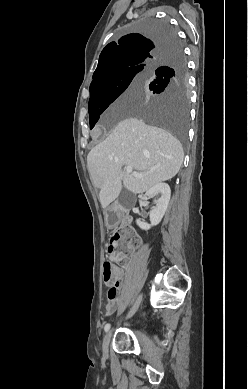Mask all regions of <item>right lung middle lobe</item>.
I'll list each match as a JSON object with an SVG mask.
<instances>
[{
  "instance_id": "1",
  "label": "right lung middle lobe",
  "mask_w": 248,
  "mask_h": 389,
  "mask_svg": "<svg viewBox=\"0 0 248 389\" xmlns=\"http://www.w3.org/2000/svg\"><path fill=\"white\" fill-rule=\"evenodd\" d=\"M138 30L151 39L174 38V31L166 22L147 19L138 24ZM157 68L167 70L155 74ZM146 82L155 96L146 103L134 100L121 104L120 113H130L146 122L172 132L184 145L189 118V93L187 66L181 49L171 50L160 56L149 68L133 67L107 73L90 86V129L105 109L114 102L132 83Z\"/></svg>"
}]
</instances>
